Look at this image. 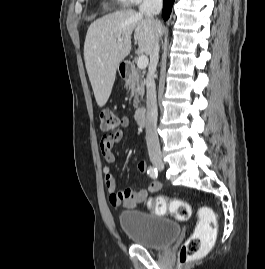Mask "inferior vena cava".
Segmentation results:
<instances>
[{
  "label": "inferior vena cava",
  "mask_w": 265,
  "mask_h": 269,
  "mask_svg": "<svg viewBox=\"0 0 265 269\" xmlns=\"http://www.w3.org/2000/svg\"><path fill=\"white\" fill-rule=\"evenodd\" d=\"M163 0H144L139 7L140 14L154 20V15L161 12ZM159 39L157 38L150 54V64L147 75V113H146V143L151 161L162 159L159 138L157 134V98L154 81L159 59Z\"/></svg>",
  "instance_id": "1"
}]
</instances>
